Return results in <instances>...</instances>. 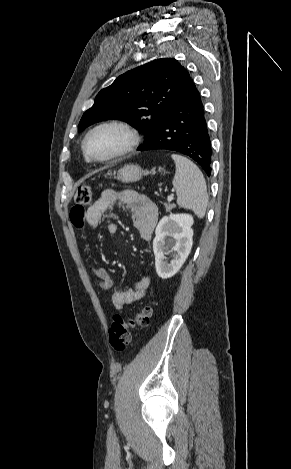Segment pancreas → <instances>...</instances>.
<instances>
[{
    "instance_id": "pancreas-1",
    "label": "pancreas",
    "mask_w": 291,
    "mask_h": 469,
    "mask_svg": "<svg viewBox=\"0 0 291 469\" xmlns=\"http://www.w3.org/2000/svg\"><path fill=\"white\" fill-rule=\"evenodd\" d=\"M164 205H165L167 212L171 211L175 207L174 204H169V203H165Z\"/></svg>"
}]
</instances>
